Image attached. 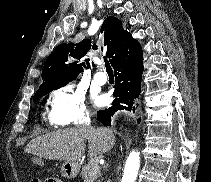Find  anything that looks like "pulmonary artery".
Returning a JSON list of instances; mask_svg holds the SVG:
<instances>
[{"mask_svg": "<svg viewBox=\"0 0 211 182\" xmlns=\"http://www.w3.org/2000/svg\"><path fill=\"white\" fill-rule=\"evenodd\" d=\"M94 81L99 85H104L107 82V76L104 72L100 71L94 75Z\"/></svg>", "mask_w": 211, "mask_h": 182, "instance_id": "pulmonary-artery-1", "label": "pulmonary artery"}]
</instances>
